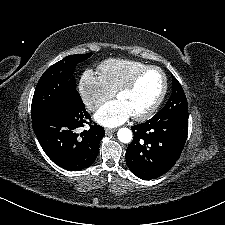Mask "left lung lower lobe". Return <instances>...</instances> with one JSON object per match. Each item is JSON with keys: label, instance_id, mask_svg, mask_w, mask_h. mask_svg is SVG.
<instances>
[{"label": "left lung lower lobe", "instance_id": "1", "mask_svg": "<svg viewBox=\"0 0 225 225\" xmlns=\"http://www.w3.org/2000/svg\"><path fill=\"white\" fill-rule=\"evenodd\" d=\"M134 138L126 163L137 177L150 180L169 171L179 159L188 133V119L154 120L131 127Z\"/></svg>", "mask_w": 225, "mask_h": 225}]
</instances>
